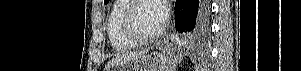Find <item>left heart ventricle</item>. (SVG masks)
<instances>
[{"label":"left heart ventricle","instance_id":"obj_1","mask_svg":"<svg viewBox=\"0 0 301 71\" xmlns=\"http://www.w3.org/2000/svg\"><path fill=\"white\" fill-rule=\"evenodd\" d=\"M133 20L139 33L145 36L152 35L161 29L156 3L153 1L140 3L134 11Z\"/></svg>","mask_w":301,"mask_h":71}]
</instances>
